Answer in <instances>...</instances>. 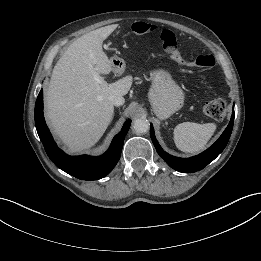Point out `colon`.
Returning a JSON list of instances; mask_svg holds the SVG:
<instances>
[{"label": "colon", "mask_w": 261, "mask_h": 261, "mask_svg": "<svg viewBox=\"0 0 261 261\" xmlns=\"http://www.w3.org/2000/svg\"><path fill=\"white\" fill-rule=\"evenodd\" d=\"M155 29L156 27L143 22L132 25V30L136 34H147L155 31ZM160 38L167 53L180 65L193 68H212L215 65V59L209 53H201L193 61H185L177 48L175 35L171 31L162 30ZM204 112L212 119L223 120L227 113V106L224 100L213 99L206 103Z\"/></svg>", "instance_id": "1"}]
</instances>
